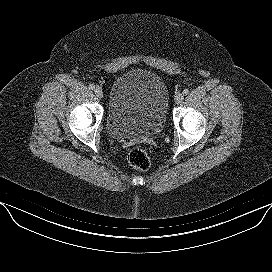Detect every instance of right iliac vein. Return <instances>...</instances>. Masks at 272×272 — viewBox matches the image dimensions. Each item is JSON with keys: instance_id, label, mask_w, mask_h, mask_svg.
Here are the masks:
<instances>
[{"instance_id": "right-iliac-vein-1", "label": "right iliac vein", "mask_w": 272, "mask_h": 272, "mask_svg": "<svg viewBox=\"0 0 272 272\" xmlns=\"http://www.w3.org/2000/svg\"><path fill=\"white\" fill-rule=\"evenodd\" d=\"M94 92H95V95L98 97V98H102L103 97V90L99 87H96L94 89Z\"/></svg>"}]
</instances>
